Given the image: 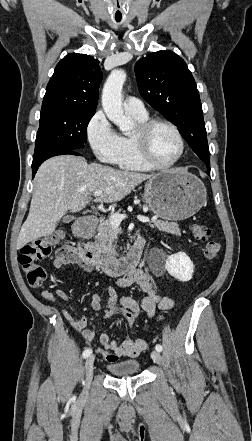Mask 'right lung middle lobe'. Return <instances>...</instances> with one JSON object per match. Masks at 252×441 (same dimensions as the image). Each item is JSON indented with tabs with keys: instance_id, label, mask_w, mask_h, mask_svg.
Wrapping results in <instances>:
<instances>
[{
	"instance_id": "obj_1",
	"label": "right lung middle lobe",
	"mask_w": 252,
	"mask_h": 441,
	"mask_svg": "<svg viewBox=\"0 0 252 441\" xmlns=\"http://www.w3.org/2000/svg\"><path fill=\"white\" fill-rule=\"evenodd\" d=\"M40 114L33 163L52 154L83 148L87 125L95 111L49 108Z\"/></svg>"
}]
</instances>
